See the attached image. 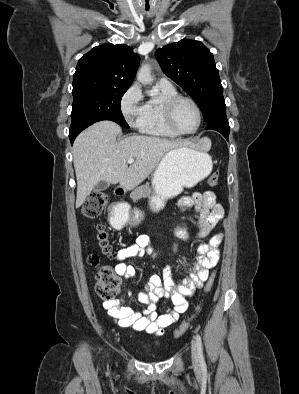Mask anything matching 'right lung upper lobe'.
<instances>
[{"mask_svg":"<svg viewBox=\"0 0 299 394\" xmlns=\"http://www.w3.org/2000/svg\"><path fill=\"white\" fill-rule=\"evenodd\" d=\"M139 60L132 47L124 44L96 46L79 59L73 75V88L91 85L129 88Z\"/></svg>","mask_w":299,"mask_h":394,"instance_id":"cb5924a9","label":"right lung upper lobe"}]
</instances>
